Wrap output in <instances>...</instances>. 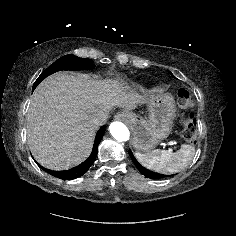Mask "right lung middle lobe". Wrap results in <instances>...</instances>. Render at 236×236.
Wrapping results in <instances>:
<instances>
[{"label": "right lung middle lobe", "mask_w": 236, "mask_h": 236, "mask_svg": "<svg viewBox=\"0 0 236 236\" xmlns=\"http://www.w3.org/2000/svg\"><path fill=\"white\" fill-rule=\"evenodd\" d=\"M93 62L90 59L79 58L74 55H65L55 61L46 70H44L38 79L35 81L32 90H34L38 84L47 76L60 71V70H84L93 68Z\"/></svg>", "instance_id": "1"}]
</instances>
